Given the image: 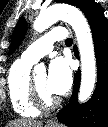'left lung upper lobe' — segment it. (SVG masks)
Masks as SVG:
<instances>
[{
  "mask_svg": "<svg viewBox=\"0 0 108 127\" xmlns=\"http://www.w3.org/2000/svg\"><path fill=\"white\" fill-rule=\"evenodd\" d=\"M57 2H62V3H68L71 5H74L79 8L80 4L84 0H56ZM27 29V23L24 17H21L14 29L12 39H11V46H10V54H12L16 48L20 45L22 39L25 36Z\"/></svg>",
  "mask_w": 108,
  "mask_h": 127,
  "instance_id": "left-lung-upper-lobe-1",
  "label": "left lung upper lobe"
}]
</instances>
